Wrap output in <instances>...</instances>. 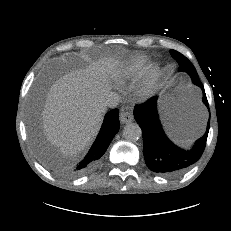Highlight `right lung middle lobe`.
Segmentation results:
<instances>
[{"label":"right lung middle lobe","mask_w":231,"mask_h":231,"mask_svg":"<svg viewBox=\"0 0 231 231\" xmlns=\"http://www.w3.org/2000/svg\"><path fill=\"white\" fill-rule=\"evenodd\" d=\"M32 133H33V141L36 145V148L41 151V146L40 143H41V140H40V134L37 130H35L34 128H32Z\"/></svg>","instance_id":"right-lung-middle-lobe-1"}]
</instances>
